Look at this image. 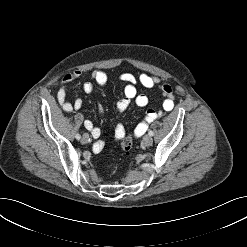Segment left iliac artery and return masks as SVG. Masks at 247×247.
<instances>
[{"label": "left iliac artery", "instance_id": "44dca946", "mask_svg": "<svg viewBox=\"0 0 247 247\" xmlns=\"http://www.w3.org/2000/svg\"><path fill=\"white\" fill-rule=\"evenodd\" d=\"M148 134H149L150 136H153V135H154V132H153V131H149Z\"/></svg>", "mask_w": 247, "mask_h": 247}]
</instances>
